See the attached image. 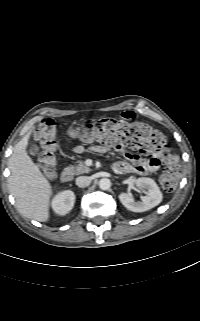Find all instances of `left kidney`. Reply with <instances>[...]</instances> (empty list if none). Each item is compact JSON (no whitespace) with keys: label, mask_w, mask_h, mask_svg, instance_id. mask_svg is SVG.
<instances>
[{"label":"left kidney","mask_w":200,"mask_h":321,"mask_svg":"<svg viewBox=\"0 0 200 321\" xmlns=\"http://www.w3.org/2000/svg\"><path fill=\"white\" fill-rule=\"evenodd\" d=\"M136 184L139 188L145 189L147 195L144 196L141 201L136 202L134 198L127 193H121L119 200L128 210L144 212L161 203L163 196L153 179L141 177L136 180Z\"/></svg>","instance_id":"5707ae66"}]
</instances>
